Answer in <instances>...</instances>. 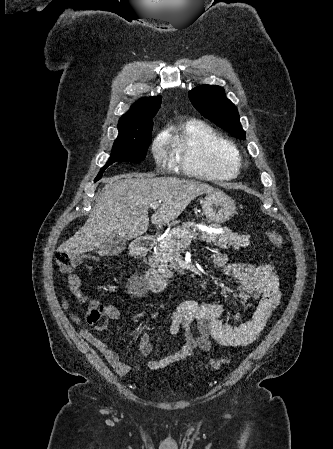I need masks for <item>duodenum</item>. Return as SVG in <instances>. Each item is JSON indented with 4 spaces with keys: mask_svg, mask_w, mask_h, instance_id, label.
<instances>
[{
    "mask_svg": "<svg viewBox=\"0 0 333 449\" xmlns=\"http://www.w3.org/2000/svg\"><path fill=\"white\" fill-rule=\"evenodd\" d=\"M154 243L155 238L153 236H145L140 238L132 244L130 253L135 257H141L152 249ZM146 278L148 287L154 292L166 291L171 282L168 276L162 275L154 268H150L147 271Z\"/></svg>",
    "mask_w": 333,
    "mask_h": 449,
    "instance_id": "410a0bca",
    "label": "duodenum"
}]
</instances>
